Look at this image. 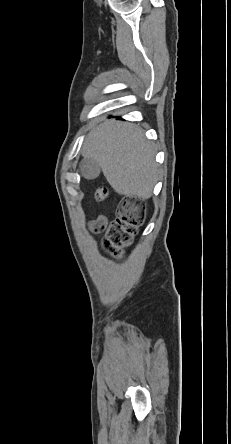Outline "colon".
I'll return each instance as SVG.
<instances>
[{
	"mask_svg": "<svg viewBox=\"0 0 231 444\" xmlns=\"http://www.w3.org/2000/svg\"><path fill=\"white\" fill-rule=\"evenodd\" d=\"M105 197L106 191L99 190L97 198L104 199ZM144 216V203L136 198H128L124 200L115 221L108 223L104 217H99L90 222L89 229L93 233L105 232L103 247L109 253L117 255L124 247L130 245Z\"/></svg>",
	"mask_w": 231,
	"mask_h": 444,
	"instance_id": "obj_1",
	"label": "colon"
}]
</instances>
